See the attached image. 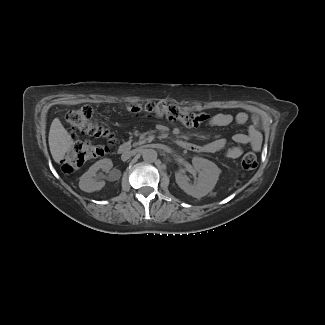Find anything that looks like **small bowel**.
<instances>
[{
  "instance_id": "obj_1",
  "label": "small bowel",
  "mask_w": 325,
  "mask_h": 325,
  "mask_svg": "<svg viewBox=\"0 0 325 325\" xmlns=\"http://www.w3.org/2000/svg\"><path fill=\"white\" fill-rule=\"evenodd\" d=\"M247 121V114L239 112L236 114L231 113H218L208 116L207 124L211 127H225L232 124H244ZM66 136L71 139V143L74 146H79L82 143L83 133L80 130L69 128L66 131ZM236 145L227 149V156L232 159H236L241 156L243 152V145L251 144V136L247 133H238L234 137ZM227 146V140L220 138L210 141L207 144L193 146L192 149H196L202 152H217L225 149Z\"/></svg>"
}]
</instances>
